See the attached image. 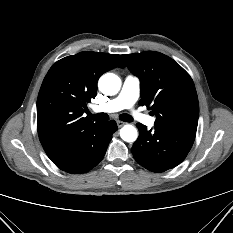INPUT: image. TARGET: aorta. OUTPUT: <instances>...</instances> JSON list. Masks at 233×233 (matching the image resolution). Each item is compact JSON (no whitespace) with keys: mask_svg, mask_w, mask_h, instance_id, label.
Instances as JSON below:
<instances>
[{"mask_svg":"<svg viewBox=\"0 0 233 233\" xmlns=\"http://www.w3.org/2000/svg\"><path fill=\"white\" fill-rule=\"evenodd\" d=\"M98 86L105 95H115L121 87L120 78L113 73H106L99 79ZM121 138L126 142H134L138 137L136 128L132 125H125L120 130Z\"/></svg>","mask_w":233,"mask_h":233,"instance_id":"1","label":"aorta"}]
</instances>
